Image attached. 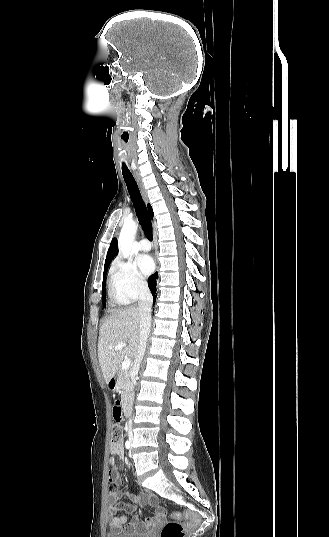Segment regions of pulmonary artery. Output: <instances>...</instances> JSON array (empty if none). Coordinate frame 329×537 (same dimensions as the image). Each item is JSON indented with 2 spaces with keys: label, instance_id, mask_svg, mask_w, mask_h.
<instances>
[{
  "label": "pulmonary artery",
  "instance_id": "obj_1",
  "mask_svg": "<svg viewBox=\"0 0 329 537\" xmlns=\"http://www.w3.org/2000/svg\"><path fill=\"white\" fill-rule=\"evenodd\" d=\"M138 247L141 251L143 252H147L151 249V244L150 242L147 240V239H142L139 244H138Z\"/></svg>",
  "mask_w": 329,
  "mask_h": 537
}]
</instances>
